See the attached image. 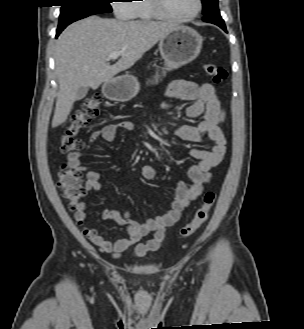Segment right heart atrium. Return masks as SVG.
<instances>
[{
    "label": "right heart atrium",
    "mask_w": 304,
    "mask_h": 329,
    "mask_svg": "<svg viewBox=\"0 0 304 329\" xmlns=\"http://www.w3.org/2000/svg\"><path fill=\"white\" fill-rule=\"evenodd\" d=\"M112 7L115 15L120 19L133 18V6L130 0H114Z\"/></svg>",
    "instance_id": "obj_1"
}]
</instances>
